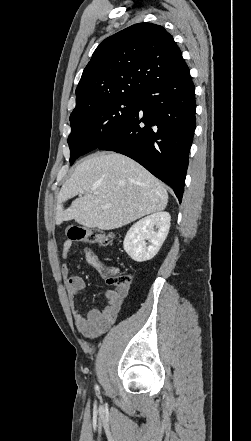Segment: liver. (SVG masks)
Listing matches in <instances>:
<instances>
[{"label":"liver","instance_id":"1","mask_svg":"<svg viewBox=\"0 0 251 441\" xmlns=\"http://www.w3.org/2000/svg\"><path fill=\"white\" fill-rule=\"evenodd\" d=\"M167 202L164 185L140 164L118 153H98L79 163L62 185L55 220L57 225L75 220L87 228L112 230L163 211Z\"/></svg>","mask_w":251,"mask_h":441}]
</instances>
